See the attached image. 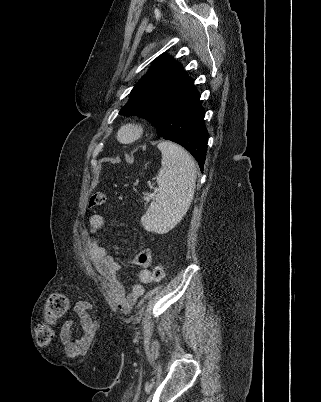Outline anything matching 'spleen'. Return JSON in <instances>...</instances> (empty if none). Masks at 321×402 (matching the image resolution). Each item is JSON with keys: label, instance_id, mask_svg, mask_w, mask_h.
<instances>
[{"label": "spleen", "instance_id": "1", "mask_svg": "<svg viewBox=\"0 0 321 402\" xmlns=\"http://www.w3.org/2000/svg\"><path fill=\"white\" fill-rule=\"evenodd\" d=\"M161 169L157 175V195L141 224L147 230L165 233L186 214L195 192L196 166L192 157L179 145L161 141Z\"/></svg>", "mask_w": 321, "mask_h": 402}]
</instances>
